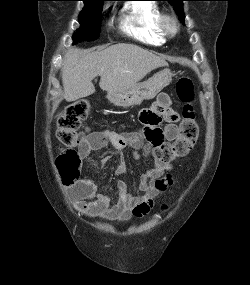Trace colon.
<instances>
[{
    "instance_id": "1",
    "label": "colon",
    "mask_w": 250,
    "mask_h": 285,
    "mask_svg": "<svg viewBox=\"0 0 250 285\" xmlns=\"http://www.w3.org/2000/svg\"><path fill=\"white\" fill-rule=\"evenodd\" d=\"M176 93L184 104L179 135L171 144L153 147L151 152L155 159L170 162L187 154L195 145L199 127L195 120L193 107L194 85L189 77L183 76L176 83ZM90 114V104L79 100L69 105L57 124V138L64 146L56 159V165L63 182L72 185L78 181L81 169V157L74 148L83 140L82 122ZM166 206H163L165 209Z\"/></svg>"
}]
</instances>
